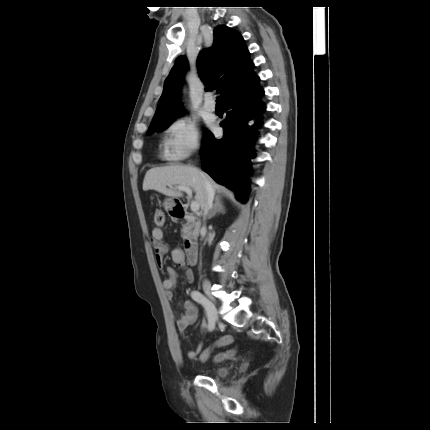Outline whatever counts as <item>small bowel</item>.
Returning <instances> with one entry per match:
<instances>
[{
  "label": "small bowel",
  "mask_w": 430,
  "mask_h": 430,
  "mask_svg": "<svg viewBox=\"0 0 430 430\" xmlns=\"http://www.w3.org/2000/svg\"><path fill=\"white\" fill-rule=\"evenodd\" d=\"M152 244L155 248L156 252V264L159 268L164 266V256L169 252L168 245L164 242V234L161 228L155 227L152 229ZM171 259L174 263L178 264L181 267H184V253L182 250L178 248H174L171 251ZM167 278L164 279L162 285L166 292V296L168 299H173L174 297V289L177 283L178 273L177 270L173 267H168L166 269ZM184 276L188 282H193L194 275L190 269H184ZM184 312L179 316L176 321L177 327L179 331L184 332L190 325L194 324L198 318L199 310L196 304L187 300L184 301L183 304ZM209 330L208 322L202 325V335H204ZM203 343L200 342L196 349L188 352L189 359H195L198 355H201L203 352Z\"/></svg>",
  "instance_id": "c3829d8e"
}]
</instances>
